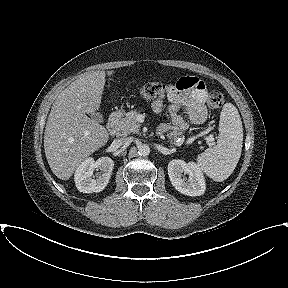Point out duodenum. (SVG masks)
<instances>
[{"label":"duodenum","instance_id":"1","mask_svg":"<svg viewBox=\"0 0 288 288\" xmlns=\"http://www.w3.org/2000/svg\"><path fill=\"white\" fill-rule=\"evenodd\" d=\"M121 116L120 111H114L111 113L108 122H107V130L110 134H114L118 128V122Z\"/></svg>","mask_w":288,"mask_h":288}]
</instances>
